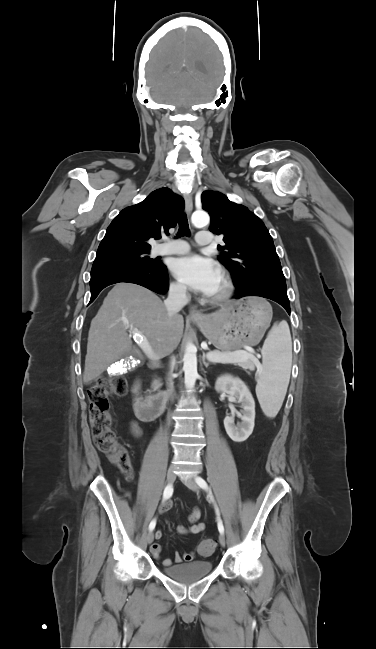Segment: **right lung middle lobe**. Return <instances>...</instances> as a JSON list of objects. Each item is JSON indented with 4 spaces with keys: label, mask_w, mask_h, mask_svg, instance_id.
I'll list each match as a JSON object with an SVG mask.
<instances>
[{
    "label": "right lung middle lobe",
    "mask_w": 376,
    "mask_h": 649,
    "mask_svg": "<svg viewBox=\"0 0 376 649\" xmlns=\"http://www.w3.org/2000/svg\"><path fill=\"white\" fill-rule=\"evenodd\" d=\"M148 253L149 251H125L97 254L92 269L115 263L154 266L157 261L149 258Z\"/></svg>",
    "instance_id": "obj_1"
}]
</instances>
